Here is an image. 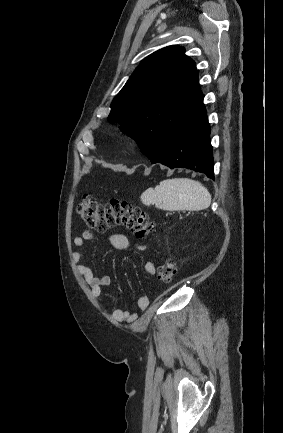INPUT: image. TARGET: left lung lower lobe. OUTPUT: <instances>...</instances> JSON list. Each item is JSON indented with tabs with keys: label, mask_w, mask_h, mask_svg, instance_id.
Masks as SVG:
<instances>
[{
	"label": "left lung lower lobe",
	"mask_w": 283,
	"mask_h": 433,
	"mask_svg": "<svg viewBox=\"0 0 283 433\" xmlns=\"http://www.w3.org/2000/svg\"><path fill=\"white\" fill-rule=\"evenodd\" d=\"M139 147L153 164L162 163L171 169L185 167L214 179L210 125L205 106L196 115L177 124L155 125Z\"/></svg>",
	"instance_id": "left-lung-lower-lobe-1"
}]
</instances>
